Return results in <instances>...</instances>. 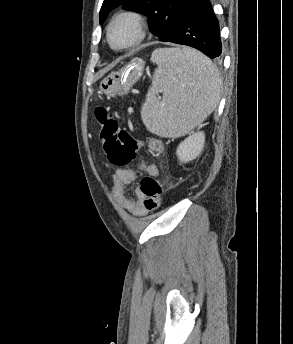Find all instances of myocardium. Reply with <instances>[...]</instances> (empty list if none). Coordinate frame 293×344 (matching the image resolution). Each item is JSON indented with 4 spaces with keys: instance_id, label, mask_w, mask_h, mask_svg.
<instances>
[{
    "instance_id": "1",
    "label": "myocardium",
    "mask_w": 293,
    "mask_h": 344,
    "mask_svg": "<svg viewBox=\"0 0 293 344\" xmlns=\"http://www.w3.org/2000/svg\"><path fill=\"white\" fill-rule=\"evenodd\" d=\"M129 21L135 29V38L128 44L117 46L113 43L111 32L113 27L121 22ZM146 36V24L143 16L133 10H124L113 16L106 29V38L109 46L114 51H126L138 46Z\"/></svg>"
}]
</instances>
